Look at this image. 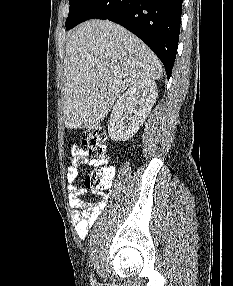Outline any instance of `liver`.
Returning <instances> with one entry per match:
<instances>
[{
  "label": "liver",
  "mask_w": 233,
  "mask_h": 286,
  "mask_svg": "<svg viewBox=\"0 0 233 286\" xmlns=\"http://www.w3.org/2000/svg\"><path fill=\"white\" fill-rule=\"evenodd\" d=\"M64 59V123L95 130L129 86L162 79V64L139 38L108 20H90L73 29Z\"/></svg>",
  "instance_id": "obj_1"
}]
</instances>
